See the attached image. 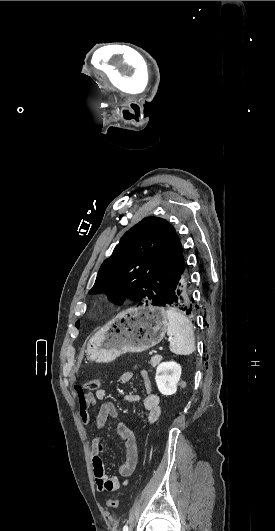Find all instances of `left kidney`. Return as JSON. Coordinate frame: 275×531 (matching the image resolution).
Returning a JSON list of instances; mask_svg holds the SVG:
<instances>
[{
    "label": "left kidney",
    "mask_w": 275,
    "mask_h": 531,
    "mask_svg": "<svg viewBox=\"0 0 275 531\" xmlns=\"http://www.w3.org/2000/svg\"><path fill=\"white\" fill-rule=\"evenodd\" d=\"M181 367L175 361L160 363L156 369L155 381L162 395H174L181 377Z\"/></svg>",
    "instance_id": "5707ae66"
}]
</instances>
